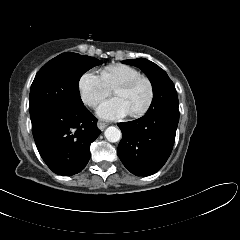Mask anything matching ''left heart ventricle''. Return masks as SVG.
Instances as JSON below:
<instances>
[{
  "label": "left heart ventricle",
  "mask_w": 240,
  "mask_h": 240,
  "mask_svg": "<svg viewBox=\"0 0 240 240\" xmlns=\"http://www.w3.org/2000/svg\"><path fill=\"white\" fill-rule=\"evenodd\" d=\"M115 95L123 98L129 105L131 112L141 109L147 102L149 89L146 83L141 82L131 89H117Z\"/></svg>",
  "instance_id": "left-heart-ventricle-1"
}]
</instances>
